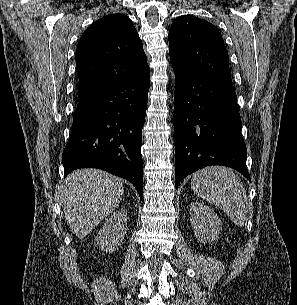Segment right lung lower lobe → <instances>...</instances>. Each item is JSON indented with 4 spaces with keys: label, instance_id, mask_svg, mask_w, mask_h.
<instances>
[{
    "label": "right lung lower lobe",
    "instance_id": "obj_1",
    "mask_svg": "<svg viewBox=\"0 0 297 305\" xmlns=\"http://www.w3.org/2000/svg\"><path fill=\"white\" fill-rule=\"evenodd\" d=\"M149 67L79 100L62 163L66 176L94 167L129 180L143 197L141 155Z\"/></svg>",
    "mask_w": 297,
    "mask_h": 305
}]
</instances>
